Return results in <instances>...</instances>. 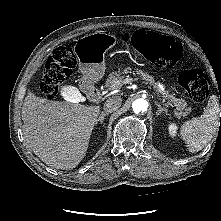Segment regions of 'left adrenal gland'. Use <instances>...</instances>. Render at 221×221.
<instances>
[{"label": "left adrenal gland", "mask_w": 221, "mask_h": 221, "mask_svg": "<svg viewBox=\"0 0 221 221\" xmlns=\"http://www.w3.org/2000/svg\"><path fill=\"white\" fill-rule=\"evenodd\" d=\"M155 104H156L157 107H158V110H157V112H156L157 115H160L163 111H166L164 108H162V106L160 105V103L155 102Z\"/></svg>", "instance_id": "obj_1"}]
</instances>
